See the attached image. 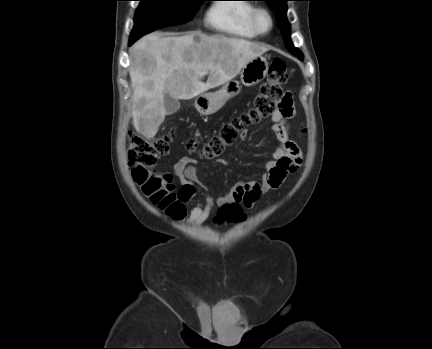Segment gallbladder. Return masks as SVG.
I'll list each match as a JSON object with an SVG mask.
<instances>
[{"mask_svg":"<svg viewBox=\"0 0 432 349\" xmlns=\"http://www.w3.org/2000/svg\"><path fill=\"white\" fill-rule=\"evenodd\" d=\"M164 106L166 109V115H172L179 110L180 102L178 99H174L169 94H166L164 97Z\"/></svg>","mask_w":432,"mask_h":349,"instance_id":"gallbladder-1","label":"gallbladder"}]
</instances>
